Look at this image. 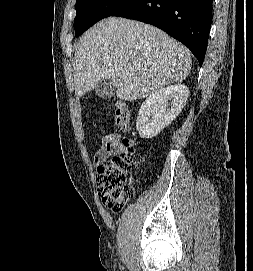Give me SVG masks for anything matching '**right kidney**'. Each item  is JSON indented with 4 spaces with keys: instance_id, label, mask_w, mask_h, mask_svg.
Wrapping results in <instances>:
<instances>
[{
    "instance_id": "ca27d5eb",
    "label": "right kidney",
    "mask_w": 253,
    "mask_h": 271,
    "mask_svg": "<svg viewBox=\"0 0 253 271\" xmlns=\"http://www.w3.org/2000/svg\"><path fill=\"white\" fill-rule=\"evenodd\" d=\"M189 96L185 85L175 84L152 93L141 105L136 129L141 138H153L181 112Z\"/></svg>"
}]
</instances>
